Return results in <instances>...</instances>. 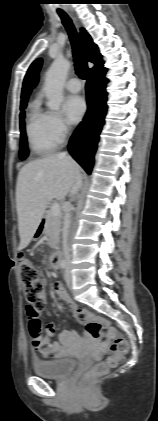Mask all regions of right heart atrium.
<instances>
[{
	"label": "right heart atrium",
	"instance_id": "d8ad5b80",
	"mask_svg": "<svg viewBox=\"0 0 158 421\" xmlns=\"http://www.w3.org/2000/svg\"><path fill=\"white\" fill-rule=\"evenodd\" d=\"M49 129L57 143L61 142L69 133V126L64 118L55 113H49Z\"/></svg>",
	"mask_w": 158,
	"mask_h": 421
}]
</instances>
